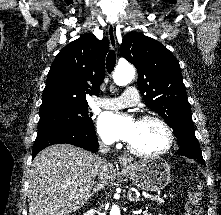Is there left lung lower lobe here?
Wrapping results in <instances>:
<instances>
[{"mask_svg":"<svg viewBox=\"0 0 221 215\" xmlns=\"http://www.w3.org/2000/svg\"><path fill=\"white\" fill-rule=\"evenodd\" d=\"M181 156H185L188 158H193L198 160L201 164L205 165L201 150L197 151L194 148H181L179 147L178 151L175 153Z\"/></svg>","mask_w":221,"mask_h":215,"instance_id":"1","label":"left lung lower lobe"}]
</instances>
